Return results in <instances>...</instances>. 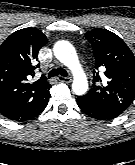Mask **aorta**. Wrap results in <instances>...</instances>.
Instances as JSON below:
<instances>
[{"label":"aorta","instance_id":"762f6f07","mask_svg":"<svg viewBox=\"0 0 135 165\" xmlns=\"http://www.w3.org/2000/svg\"><path fill=\"white\" fill-rule=\"evenodd\" d=\"M56 58L73 73L72 90L76 95H83L88 90V82L83 72L75 48L67 41H59L54 46Z\"/></svg>","mask_w":135,"mask_h":165}]
</instances>
